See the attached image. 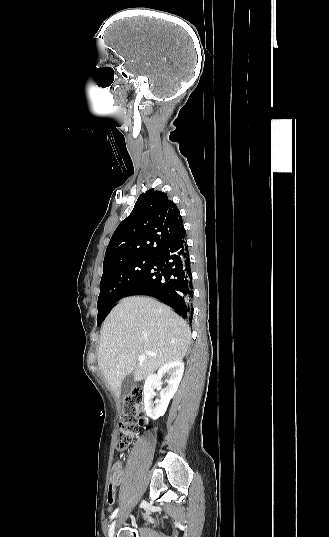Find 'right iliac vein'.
<instances>
[{
    "instance_id": "obj_1",
    "label": "right iliac vein",
    "mask_w": 329,
    "mask_h": 537,
    "mask_svg": "<svg viewBox=\"0 0 329 537\" xmlns=\"http://www.w3.org/2000/svg\"><path fill=\"white\" fill-rule=\"evenodd\" d=\"M116 520L112 522V524L110 525L109 527V530H108V536L109 537H113L114 533H115V529H116Z\"/></svg>"
}]
</instances>
